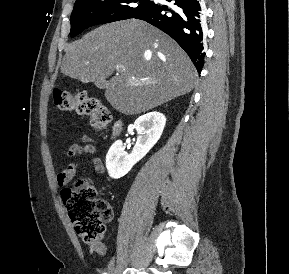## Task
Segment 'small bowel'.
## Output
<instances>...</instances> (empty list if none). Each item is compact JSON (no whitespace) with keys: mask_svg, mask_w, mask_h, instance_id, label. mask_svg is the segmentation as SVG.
I'll list each match as a JSON object with an SVG mask.
<instances>
[{"mask_svg":"<svg viewBox=\"0 0 289 274\" xmlns=\"http://www.w3.org/2000/svg\"><path fill=\"white\" fill-rule=\"evenodd\" d=\"M80 143H73L69 146L66 154L69 157H74L81 154L91 155V163L98 173L105 172V166L103 161L96 156H93L96 152V148L92 143V139L87 135L80 137ZM80 164L77 162L70 163L61 173L57 176V183L59 186H66L76 175ZM89 249L91 252L97 253L100 256L105 255L106 247L101 241H94L89 243Z\"/></svg>","mask_w":289,"mask_h":274,"instance_id":"1","label":"small bowel"}]
</instances>
